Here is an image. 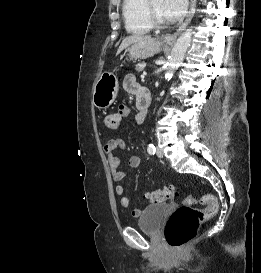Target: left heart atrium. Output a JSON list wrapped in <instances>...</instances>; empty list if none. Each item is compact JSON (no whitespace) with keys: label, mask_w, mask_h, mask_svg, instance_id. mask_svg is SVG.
Masks as SVG:
<instances>
[{"label":"left heart atrium","mask_w":261,"mask_h":273,"mask_svg":"<svg viewBox=\"0 0 261 273\" xmlns=\"http://www.w3.org/2000/svg\"><path fill=\"white\" fill-rule=\"evenodd\" d=\"M188 0H163V10L169 22L179 20L186 12Z\"/></svg>","instance_id":"1"}]
</instances>
